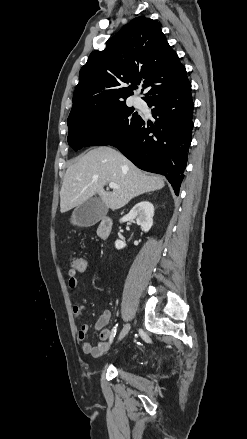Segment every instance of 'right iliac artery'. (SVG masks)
Wrapping results in <instances>:
<instances>
[{
    "label": "right iliac artery",
    "instance_id": "1",
    "mask_svg": "<svg viewBox=\"0 0 247 439\" xmlns=\"http://www.w3.org/2000/svg\"><path fill=\"white\" fill-rule=\"evenodd\" d=\"M117 326H118V325H116V326L113 328V332H114V334H112V336H111V340H112L113 337L115 336Z\"/></svg>",
    "mask_w": 247,
    "mask_h": 439
}]
</instances>
